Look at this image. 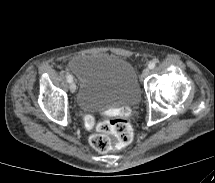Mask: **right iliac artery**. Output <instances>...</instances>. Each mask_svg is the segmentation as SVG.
Wrapping results in <instances>:
<instances>
[{"instance_id": "1", "label": "right iliac artery", "mask_w": 215, "mask_h": 183, "mask_svg": "<svg viewBox=\"0 0 215 183\" xmlns=\"http://www.w3.org/2000/svg\"><path fill=\"white\" fill-rule=\"evenodd\" d=\"M66 78H67V81H68L69 83L73 81V77H72V75H70V74H68Z\"/></svg>"}]
</instances>
